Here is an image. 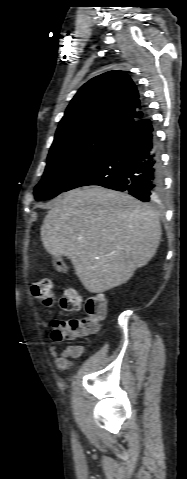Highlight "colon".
I'll use <instances>...</instances> for the list:
<instances>
[{
  "label": "colon",
  "mask_w": 187,
  "mask_h": 479,
  "mask_svg": "<svg viewBox=\"0 0 187 479\" xmlns=\"http://www.w3.org/2000/svg\"><path fill=\"white\" fill-rule=\"evenodd\" d=\"M31 293L46 305H51L55 301L54 288L50 279L44 278L34 282L31 285ZM60 306L64 311L70 313L84 308L86 316L59 321L57 326H52L55 340L72 339L93 333L107 314V301L102 294L92 295L84 302L74 287L63 289Z\"/></svg>",
  "instance_id": "1"
}]
</instances>
